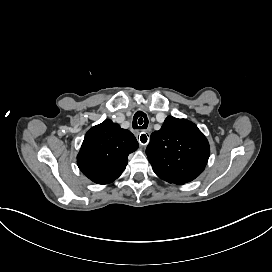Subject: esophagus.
I'll return each instance as SVG.
<instances>
[{
	"instance_id": "obj_1",
	"label": "esophagus",
	"mask_w": 272,
	"mask_h": 272,
	"mask_svg": "<svg viewBox=\"0 0 272 272\" xmlns=\"http://www.w3.org/2000/svg\"><path fill=\"white\" fill-rule=\"evenodd\" d=\"M138 141L141 146H146L149 141V137L147 133H140L138 135Z\"/></svg>"
}]
</instances>
